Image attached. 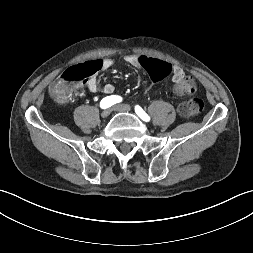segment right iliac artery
<instances>
[{"mask_svg":"<svg viewBox=\"0 0 253 253\" xmlns=\"http://www.w3.org/2000/svg\"><path fill=\"white\" fill-rule=\"evenodd\" d=\"M121 101H122V98L120 96H116V95L107 96L101 100L100 107L102 109H106Z\"/></svg>","mask_w":253,"mask_h":253,"instance_id":"obj_1","label":"right iliac artery"}]
</instances>
